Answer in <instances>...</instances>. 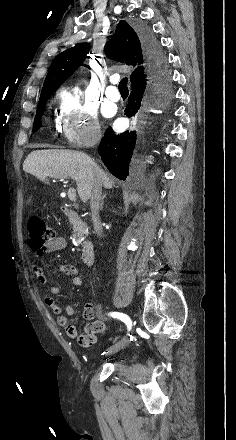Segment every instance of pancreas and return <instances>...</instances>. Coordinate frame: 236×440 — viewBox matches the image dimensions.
Masks as SVG:
<instances>
[{"label": "pancreas", "mask_w": 236, "mask_h": 440, "mask_svg": "<svg viewBox=\"0 0 236 440\" xmlns=\"http://www.w3.org/2000/svg\"><path fill=\"white\" fill-rule=\"evenodd\" d=\"M87 229L88 227L85 223H83L80 220H76L73 223V231H74L73 236L77 238V240H80L83 237V235L87 233Z\"/></svg>", "instance_id": "obj_1"}]
</instances>
